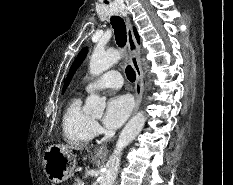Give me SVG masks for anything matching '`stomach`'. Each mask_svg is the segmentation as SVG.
Returning <instances> with one entry per match:
<instances>
[{"mask_svg": "<svg viewBox=\"0 0 233 185\" xmlns=\"http://www.w3.org/2000/svg\"><path fill=\"white\" fill-rule=\"evenodd\" d=\"M98 158L103 156L96 155ZM75 155L59 145L49 146L43 155V168L47 178L56 184L62 183L74 174Z\"/></svg>", "mask_w": 233, "mask_h": 185, "instance_id": "1", "label": "stomach"}]
</instances>
